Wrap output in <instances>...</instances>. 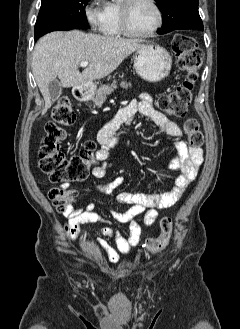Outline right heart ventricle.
<instances>
[{
    "label": "right heart ventricle",
    "instance_id": "1",
    "mask_svg": "<svg viewBox=\"0 0 240 329\" xmlns=\"http://www.w3.org/2000/svg\"><path fill=\"white\" fill-rule=\"evenodd\" d=\"M122 0H109L103 5L102 20L99 25L100 32L109 38L125 36L121 29L120 7Z\"/></svg>",
    "mask_w": 240,
    "mask_h": 329
}]
</instances>
